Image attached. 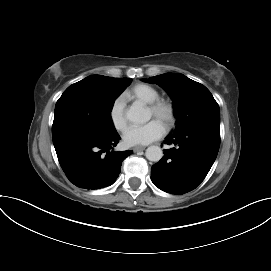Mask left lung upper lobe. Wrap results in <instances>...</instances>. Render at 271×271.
<instances>
[{
    "label": "left lung upper lobe",
    "mask_w": 271,
    "mask_h": 271,
    "mask_svg": "<svg viewBox=\"0 0 271 271\" xmlns=\"http://www.w3.org/2000/svg\"><path fill=\"white\" fill-rule=\"evenodd\" d=\"M143 81L158 84L173 100L174 133L202 124L220 125L219 106L204 85L180 73H166Z\"/></svg>",
    "instance_id": "5c2ea615"
}]
</instances>
